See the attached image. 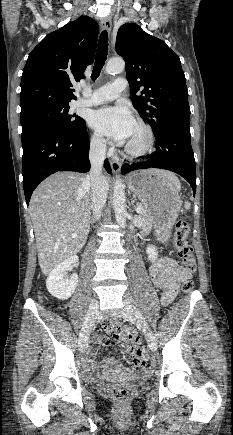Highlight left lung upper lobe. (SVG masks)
<instances>
[{"mask_svg":"<svg viewBox=\"0 0 233 435\" xmlns=\"http://www.w3.org/2000/svg\"><path fill=\"white\" fill-rule=\"evenodd\" d=\"M116 52L125 60L133 106L154 135L189 126L188 91L177 54L164 41L132 23L119 28ZM139 89L143 96L135 95Z\"/></svg>","mask_w":233,"mask_h":435,"instance_id":"obj_1","label":"left lung upper lobe"}]
</instances>
